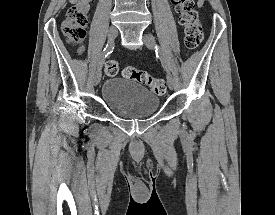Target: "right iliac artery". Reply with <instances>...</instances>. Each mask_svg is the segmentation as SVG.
I'll list each match as a JSON object with an SVG mask.
<instances>
[{"mask_svg":"<svg viewBox=\"0 0 275 215\" xmlns=\"http://www.w3.org/2000/svg\"><path fill=\"white\" fill-rule=\"evenodd\" d=\"M114 49V46H113V43H109L107 44V46L104 48L100 58H99V62H98V67H101L102 68V65H103V62L105 60V58L110 54L112 53Z\"/></svg>","mask_w":275,"mask_h":215,"instance_id":"1","label":"right iliac artery"}]
</instances>
